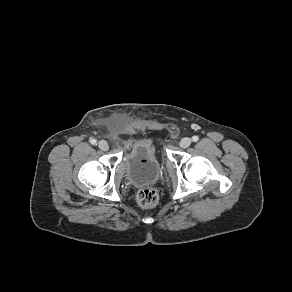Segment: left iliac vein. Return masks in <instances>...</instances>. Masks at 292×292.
<instances>
[{"instance_id": "obj_1", "label": "left iliac vein", "mask_w": 292, "mask_h": 292, "mask_svg": "<svg viewBox=\"0 0 292 292\" xmlns=\"http://www.w3.org/2000/svg\"><path fill=\"white\" fill-rule=\"evenodd\" d=\"M192 140L188 137H184L183 139H181L179 145L181 148H187L191 145Z\"/></svg>"}]
</instances>
